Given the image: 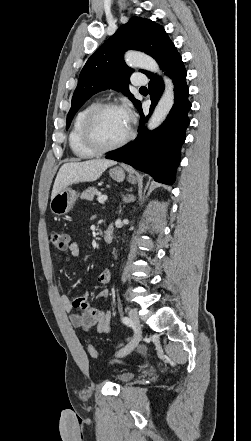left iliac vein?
<instances>
[{
  "mask_svg": "<svg viewBox=\"0 0 251 441\" xmlns=\"http://www.w3.org/2000/svg\"><path fill=\"white\" fill-rule=\"evenodd\" d=\"M129 319L131 320L132 324L134 325V327L136 329V334H135L134 339L128 345H126L124 348H122L121 350H119L116 353L117 357H123V356L129 354L137 346V344L141 340L142 326L140 323L139 316L135 310L129 311Z\"/></svg>",
  "mask_w": 251,
  "mask_h": 441,
  "instance_id": "left-iliac-vein-1",
  "label": "left iliac vein"
}]
</instances>
